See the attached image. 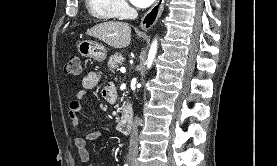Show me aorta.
Here are the masks:
<instances>
[{"label": "aorta", "instance_id": "762f6f07", "mask_svg": "<svg viewBox=\"0 0 277 166\" xmlns=\"http://www.w3.org/2000/svg\"><path fill=\"white\" fill-rule=\"evenodd\" d=\"M156 52H157V40H154L148 54V67L152 65V62L156 56Z\"/></svg>", "mask_w": 277, "mask_h": 166}]
</instances>
